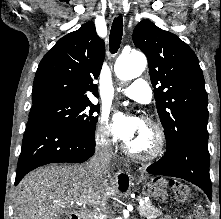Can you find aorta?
I'll return each instance as SVG.
<instances>
[{
  "label": "aorta",
  "mask_w": 221,
  "mask_h": 219,
  "mask_svg": "<svg viewBox=\"0 0 221 219\" xmlns=\"http://www.w3.org/2000/svg\"><path fill=\"white\" fill-rule=\"evenodd\" d=\"M146 57L140 53L120 55L114 65L116 76L121 80L139 77L146 68Z\"/></svg>",
  "instance_id": "aorta-1"
}]
</instances>
